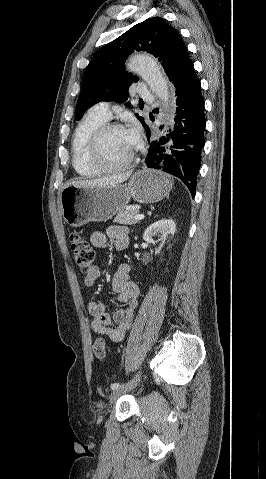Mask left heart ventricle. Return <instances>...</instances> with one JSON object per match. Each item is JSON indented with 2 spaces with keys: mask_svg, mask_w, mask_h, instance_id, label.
Returning a JSON list of instances; mask_svg holds the SVG:
<instances>
[{
  "mask_svg": "<svg viewBox=\"0 0 266 479\" xmlns=\"http://www.w3.org/2000/svg\"><path fill=\"white\" fill-rule=\"evenodd\" d=\"M134 146L127 130H113L103 139L101 155L108 164L118 165L129 158Z\"/></svg>",
  "mask_w": 266,
  "mask_h": 479,
  "instance_id": "left-heart-ventricle-1",
  "label": "left heart ventricle"
}]
</instances>
